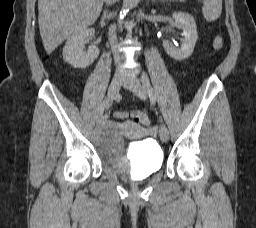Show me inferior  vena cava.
Listing matches in <instances>:
<instances>
[{
  "instance_id": "obj_1",
  "label": "inferior vena cava",
  "mask_w": 256,
  "mask_h": 228,
  "mask_svg": "<svg viewBox=\"0 0 256 228\" xmlns=\"http://www.w3.org/2000/svg\"><path fill=\"white\" fill-rule=\"evenodd\" d=\"M107 5H112L113 3L116 2V0H104ZM109 40L110 44L112 46V49L114 51V61L117 66L118 71H123L122 64H121V57L119 56L116 47H117V38L115 35V29L111 27L109 29Z\"/></svg>"
}]
</instances>
